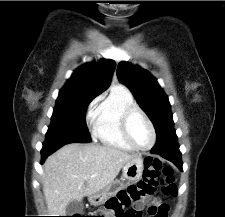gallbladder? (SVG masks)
<instances>
[{
    "instance_id": "obj_1",
    "label": "gallbladder",
    "mask_w": 225,
    "mask_h": 217,
    "mask_svg": "<svg viewBox=\"0 0 225 217\" xmlns=\"http://www.w3.org/2000/svg\"><path fill=\"white\" fill-rule=\"evenodd\" d=\"M84 209L83 201L72 200L66 206V216L80 214Z\"/></svg>"
}]
</instances>
